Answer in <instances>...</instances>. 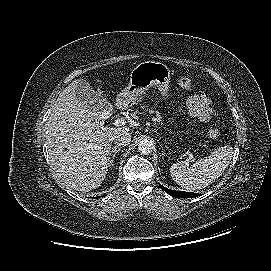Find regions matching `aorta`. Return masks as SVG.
I'll return each instance as SVG.
<instances>
[{
  "instance_id": "aorta-1",
  "label": "aorta",
  "mask_w": 271,
  "mask_h": 271,
  "mask_svg": "<svg viewBox=\"0 0 271 271\" xmlns=\"http://www.w3.org/2000/svg\"><path fill=\"white\" fill-rule=\"evenodd\" d=\"M153 148V142L150 139L144 138L138 143V150L143 155L152 153Z\"/></svg>"
}]
</instances>
